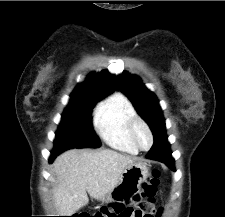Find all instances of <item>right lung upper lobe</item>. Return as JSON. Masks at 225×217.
<instances>
[{
  "label": "right lung upper lobe",
  "instance_id": "obj_1",
  "mask_svg": "<svg viewBox=\"0 0 225 217\" xmlns=\"http://www.w3.org/2000/svg\"><path fill=\"white\" fill-rule=\"evenodd\" d=\"M116 88V78L108 71L99 74L91 73L85 82L78 85L73 91L71 98L97 97L103 98L112 93Z\"/></svg>",
  "mask_w": 225,
  "mask_h": 217
}]
</instances>
